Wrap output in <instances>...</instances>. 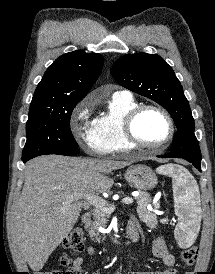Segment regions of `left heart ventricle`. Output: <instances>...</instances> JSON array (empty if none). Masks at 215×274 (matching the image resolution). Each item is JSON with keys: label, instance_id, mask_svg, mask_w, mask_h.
I'll return each instance as SVG.
<instances>
[{"label": "left heart ventricle", "instance_id": "b2bd125f", "mask_svg": "<svg viewBox=\"0 0 215 274\" xmlns=\"http://www.w3.org/2000/svg\"><path fill=\"white\" fill-rule=\"evenodd\" d=\"M135 131L143 142L156 144L167 137L169 126L162 114L154 110H147L138 117Z\"/></svg>", "mask_w": 215, "mask_h": 274}]
</instances>
